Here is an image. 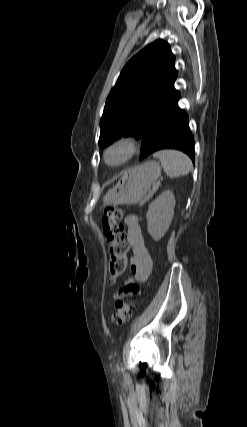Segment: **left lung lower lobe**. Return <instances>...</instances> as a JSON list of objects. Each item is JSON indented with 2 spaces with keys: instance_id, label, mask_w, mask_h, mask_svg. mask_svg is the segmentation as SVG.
<instances>
[{
  "instance_id": "1",
  "label": "left lung lower lobe",
  "mask_w": 247,
  "mask_h": 427,
  "mask_svg": "<svg viewBox=\"0 0 247 427\" xmlns=\"http://www.w3.org/2000/svg\"><path fill=\"white\" fill-rule=\"evenodd\" d=\"M179 98L145 130L140 160L162 149H177L186 153L194 164V139L188 125V116L177 105Z\"/></svg>"
}]
</instances>
